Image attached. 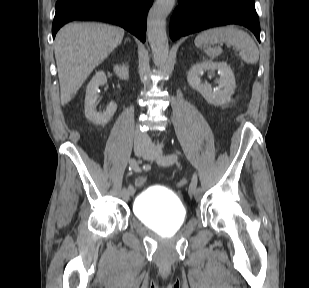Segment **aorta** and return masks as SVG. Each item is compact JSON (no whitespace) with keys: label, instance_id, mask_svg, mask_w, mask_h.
I'll list each match as a JSON object with an SVG mask.
<instances>
[{"label":"aorta","instance_id":"obj_1","mask_svg":"<svg viewBox=\"0 0 309 288\" xmlns=\"http://www.w3.org/2000/svg\"><path fill=\"white\" fill-rule=\"evenodd\" d=\"M175 0H156L147 17V37L154 54L156 66L163 68L169 52L166 34V18L172 11Z\"/></svg>","mask_w":309,"mask_h":288}]
</instances>
